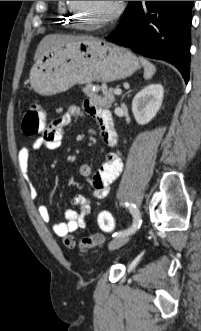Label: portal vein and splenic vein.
<instances>
[{"label": "portal vein and splenic vein", "instance_id": "obj_1", "mask_svg": "<svg viewBox=\"0 0 201 331\" xmlns=\"http://www.w3.org/2000/svg\"><path fill=\"white\" fill-rule=\"evenodd\" d=\"M114 94L115 95H121L122 94V90L121 89H115L114 90Z\"/></svg>", "mask_w": 201, "mask_h": 331}]
</instances>
